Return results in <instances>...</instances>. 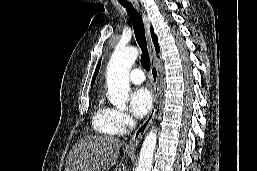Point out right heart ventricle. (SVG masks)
<instances>
[{
    "mask_svg": "<svg viewBox=\"0 0 257 171\" xmlns=\"http://www.w3.org/2000/svg\"><path fill=\"white\" fill-rule=\"evenodd\" d=\"M92 126L97 133L104 135H119L123 132L117 124L115 110L108 106L103 98L96 103Z\"/></svg>",
    "mask_w": 257,
    "mask_h": 171,
    "instance_id": "obj_1",
    "label": "right heart ventricle"
}]
</instances>
